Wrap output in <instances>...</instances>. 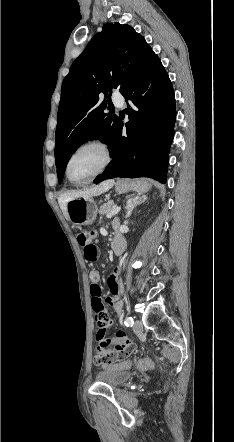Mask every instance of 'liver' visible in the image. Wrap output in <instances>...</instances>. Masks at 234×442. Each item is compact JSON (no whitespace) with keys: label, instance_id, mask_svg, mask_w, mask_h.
Masks as SVG:
<instances>
[{"label":"liver","instance_id":"obj_1","mask_svg":"<svg viewBox=\"0 0 234 442\" xmlns=\"http://www.w3.org/2000/svg\"><path fill=\"white\" fill-rule=\"evenodd\" d=\"M114 184H115V181L113 179H109V180L101 182L99 185H96V186L88 188V189L63 194L58 199L60 208L63 211L65 217L68 219L67 209H66V205L68 202H70L76 198H81V197L84 199H88L93 196H99V195L103 194L104 192L108 191L110 188H112Z\"/></svg>","mask_w":234,"mask_h":442}]
</instances>
